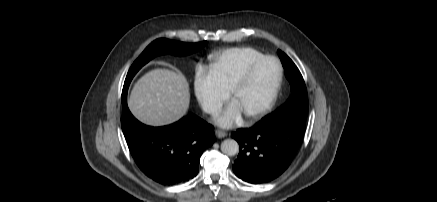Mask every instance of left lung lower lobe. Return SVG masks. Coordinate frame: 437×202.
<instances>
[{
	"instance_id": "left-lung-lower-lobe-1",
	"label": "left lung lower lobe",
	"mask_w": 437,
	"mask_h": 202,
	"mask_svg": "<svg viewBox=\"0 0 437 202\" xmlns=\"http://www.w3.org/2000/svg\"><path fill=\"white\" fill-rule=\"evenodd\" d=\"M306 119L295 114L263 118L251 128L238 129L231 136L240 151L232 165L242 180L260 184L281 175L290 165L303 139Z\"/></svg>"
}]
</instances>
